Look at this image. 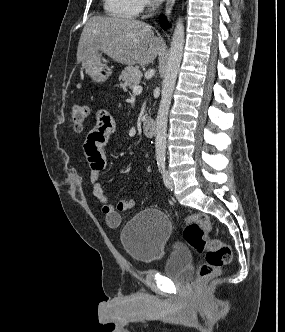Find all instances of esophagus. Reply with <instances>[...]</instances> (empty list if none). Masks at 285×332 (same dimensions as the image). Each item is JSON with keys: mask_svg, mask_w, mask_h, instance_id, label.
Returning a JSON list of instances; mask_svg holds the SVG:
<instances>
[{"mask_svg": "<svg viewBox=\"0 0 285 332\" xmlns=\"http://www.w3.org/2000/svg\"><path fill=\"white\" fill-rule=\"evenodd\" d=\"M175 1L176 0H167L166 6H165V11H164L165 15H167V16L170 15L171 10L175 4Z\"/></svg>", "mask_w": 285, "mask_h": 332, "instance_id": "1", "label": "esophagus"}]
</instances>
